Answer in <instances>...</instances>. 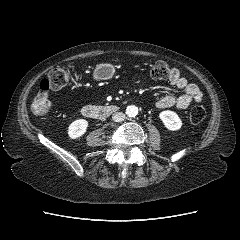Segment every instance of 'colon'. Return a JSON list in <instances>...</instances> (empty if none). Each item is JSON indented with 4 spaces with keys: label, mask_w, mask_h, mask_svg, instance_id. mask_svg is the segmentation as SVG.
I'll return each mask as SVG.
<instances>
[{
    "label": "colon",
    "mask_w": 240,
    "mask_h": 240,
    "mask_svg": "<svg viewBox=\"0 0 240 240\" xmlns=\"http://www.w3.org/2000/svg\"><path fill=\"white\" fill-rule=\"evenodd\" d=\"M150 74L156 80H165L169 77L170 68L166 62L156 61L151 66ZM70 79L71 75L67 69L53 68L40 84V90L32 103V112L37 116L47 115L53 107L51 92L68 85ZM205 114L204 106L199 105L190 112L188 122L192 125L199 124L204 120Z\"/></svg>",
    "instance_id": "1"
}]
</instances>
